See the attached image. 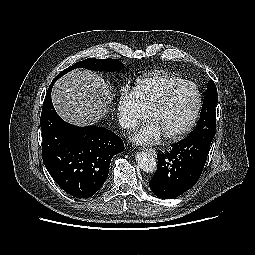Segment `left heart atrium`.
I'll return each mask as SVG.
<instances>
[{
	"instance_id": "left-heart-atrium-1",
	"label": "left heart atrium",
	"mask_w": 255,
	"mask_h": 255,
	"mask_svg": "<svg viewBox=\"0 0 255 255\" xmlns=\"http://www.w3.org/2000/svg\"><path fill=\"white\" fill-rule=\"evenodd\" d=\"M162 135L163 134L158 125L154 121L150 120L132 134L131 140L136 144L145 145L159 141Z\"/></svg>"
}]
</instances>
